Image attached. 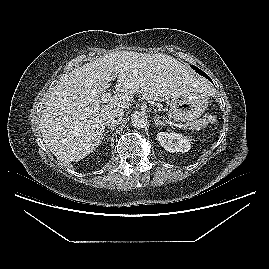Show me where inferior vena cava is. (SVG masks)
<instances>
[{
	"instance_id": "inferior-vena-cava-1",
	"label": "inferior vena cava",
	"mask_w": 269,
	"mask_h": 269,
	"mask_svg": "<svg viewBox=\"0 0 269 269\" xmlns=\"http://www.w3.org/2000/svg\"><path fill=\"white\" fill-rule=\"evenodd\" d=\"M124 116V111L121 108H116L108 112L105 117V123L109 127H115L118 125Z\"/></svg>"
}]
</instances>
